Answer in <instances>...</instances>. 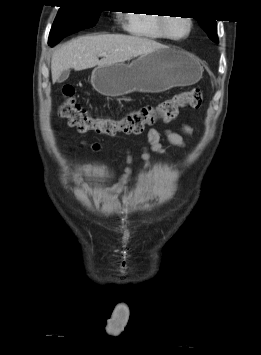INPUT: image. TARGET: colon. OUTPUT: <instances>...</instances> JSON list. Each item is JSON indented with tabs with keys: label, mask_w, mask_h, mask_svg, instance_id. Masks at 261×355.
Returning a JSON list of instances; mask_svg holds the SVG:
<instances>
[{
	"label": "colon",
	"mask_w": 261,
	"mask_h": 355,
	"mask_svg": "<svg viewBox=\"0 0 261 355\" xmlns=\"http://www.w3.org/2000/svg\"><path fill=\"white\" fill-rule=\"evenodd\" d=\"M63 102L60 114L69 126L80 132H95L102 135L138 134L145 127L161 120L170 122L176 118L180 110L185 108H199L203 102V95L199 88H193L175 94L156 105H146L129 112L121 119L100 118L91 116L75 99L74 88L70 85L63 87Z\"/></svg>",
	"instance_id": "1"
}]
</instances>
